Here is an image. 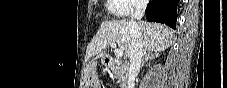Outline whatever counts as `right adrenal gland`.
I'll return each mask as SVG.
<instances>
[{"label": "right adrenal gland", "mask_w": 227, "mask_h": 88, "mask_svg": "<svg viewBox=\"0 0 227 88\" xmlns=\"http://www.w3.org/2000/svg\"><path fill=\"white\" fill-rule=\"evenodd\" d=\"M158 57H159L158 53L151 52V51H145L144 55H143L142 63H141V68L144 66V64L147 60L157 59Z\"/></svg>", "instance_id": "obj_1"}]
</instances>
